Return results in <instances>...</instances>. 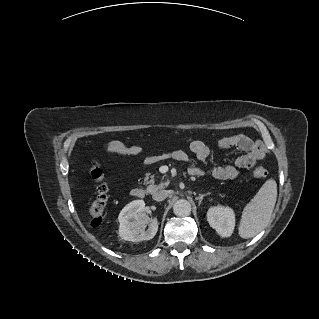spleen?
Listing matches in <instances>:
<instances>
[{"label":"spleen","mask_w":319,"mask_h":319,"mask_svg":"<svg viewBox=\"0 0 319 319\" xmlns=\"http://www.w3.org/2000/svg\"><path fill=\"white\" fill-rule=\"evenodd\" d=\"M277 199V183L267 180L254 198L245 206L238 233L241 238L248 239L262 231L271 219Z\"/></svg>","instance_id":"obj_1"}]
</instances>
